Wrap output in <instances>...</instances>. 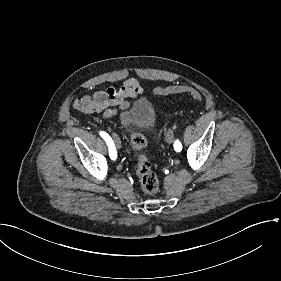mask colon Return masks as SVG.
<instances>
[{"instance_id": "colon-1", "label": "colon", "mask_w": 281, "mask_h": 281, "mask_svg": "<svg viewBox=\"0 0 281 281\" xmlns=\"http://www.w3.org/2000/svg\"><path fill=\"white\" fill-rule=\"evenodd\" d=\"M187 93L192 95L196 100H201L202 96L199 92L195 91L194 88L188 86L173 85L168 88H156L154 89L155 94L169 95L174 92ZM134 144L138 151V164H137V175L142 191L149 196L155 195L159 191V180L156 173L152 170L147 154L144 152L145 141L139 134H134Z\"/></svg>"}]
</instances>
